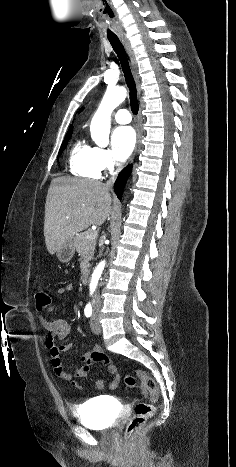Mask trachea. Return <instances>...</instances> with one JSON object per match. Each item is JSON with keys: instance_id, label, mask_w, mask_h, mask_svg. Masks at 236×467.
<instances>
[{"instance_id": "3493384b", "label": "trachea", "mask_w": 236, "mask_h": 467, "mask_svg": "<svg viewBox=\"0 0 236 467\" xmlns=\"http://www.w3.org/2000/svg\"><path fill=\"white\" fill-rule=\"evenodd\" d=\"M110 44L112 45L114 51L116 52L119 61L122 66L126 84L129 88L130 94V105L133 114L137 115L139 110L138 100H137V91L134 78L132 76L127 55L125 53L124 47L121 44L120 40L116 38H108Z\"/></svg>"}]
</instances>
